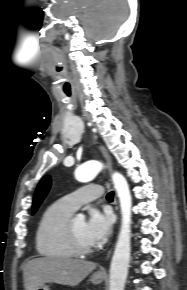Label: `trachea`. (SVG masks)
<instances>
[{"label": "trachea", "mask_w": 187, "mask_h": 290, "mask_svg": "<svg viewBox=\"0 0 187 290\" xmlns=\"http://www.w3.org/2000/svg\"><path fill=\"white\" fill-rule=\"evenodd\" d=\"M113 197H114V193L111 191L107 194V200H113Z\"/></svg>", "instance_id": "3493384b"}]
</instances>
